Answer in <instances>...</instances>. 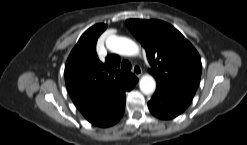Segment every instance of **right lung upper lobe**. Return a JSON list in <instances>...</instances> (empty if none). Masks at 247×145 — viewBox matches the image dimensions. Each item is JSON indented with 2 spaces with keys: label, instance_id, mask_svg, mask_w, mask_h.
Instances as JSON below:
<instances>
[{
  "label": "right lung upper lobe",
  "instance_id": "cb5924a9",
  "mask_svg": "<svg viewBox=\"0 0 247 145\" xmlns=\"http://www.w3.org/2000/svg\"><path fill=\"white\" fill-rule=\"evenodd\" d=\"M106 28L105 24L89 28L71 51L65 66V83L71 99L89 122L100 127L121 115L125 91L138 81L134 74L120 71L119 56H107L105 63L98 59L96 42Z\"/></svg>",
  "mask_w": 247,
  "mask_h": 145
}]
</instances>
